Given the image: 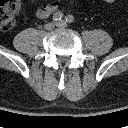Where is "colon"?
Wrapping results in <instances>:
<instances>
[{"label":"colon","instance_id":"colon-1","mask_svg":"<svg viewBox=\"0 0 128 128\" xmlns=\"http://www.w3.org/2000/svg\"><path fill=\"white\" fill-rule=\"evenodd\" d=\"M113 3L116 0H104ZM21 0H0V30H8L14 24L15 15L20 11Z\"/></svg>","mask_w":128,"mask_h":128}]
</instances>
